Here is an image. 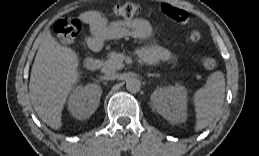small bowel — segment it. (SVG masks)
<instances>
[{
    "label": "small bowel",
    "instance_id": "1",
    "mask_svg": "<svg viewBox=\"0 0 259 156\" xmlns=\"http://www.w3.org/2000/svg\"><path fill=\"white\" fill-rule=\"evenodd\" d=\"M91 30V36L87 39V45L91 47L94 42L100 45L105 39L134 37L139 39H150L153 37L151 24L143 18H133L108 22L106 16L97 10L86 11L80 16ZM149 60L168 61L172 54L163 46L155 44L151 51L143 53Z\"/></svg>",
    "mask_w": 259,
    "mask_h": 156
}]
</instances>
